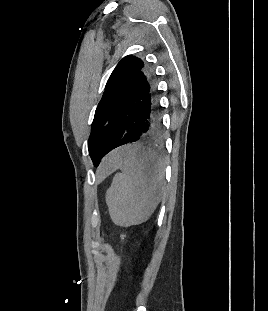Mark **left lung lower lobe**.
<instances>
[{
    "mask_svg": "<svg viewBox=\"0 0 268 311\" xmlns=\"http://www.w3.org/2000/svg\"><path fill=\"white\" fill-rule=\"evenodd\" d=\"M122 115L123 122L108 143L104 156L127 143L163 141L156 78L147 64L138 74L130 94V101Z\"/></svg>",
    "mask_w": 268,
    "mask_h": 311,
    "instance_id": "0a47b994",
    "label": "left lung lower lobe"
}]
</instances>
